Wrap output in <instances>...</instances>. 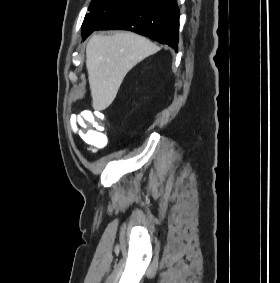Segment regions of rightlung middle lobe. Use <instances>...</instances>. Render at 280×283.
Wrapping results in <instances>:
<instances>
[{
    "instance_id": "1",
    "label": "right lung middle lobe",
    "mask_w": 280,
    "mask_h": 283,
    "mask_svg": "<svg viewBox=\"0 0 280 283\" xmlns=\"http://www.w3.org/2000/svg\"><path fill=\"white\" fill-rule=\"evenodd\" d=\"M137 0H92L82 25V38L90 35L103 21Z\"/></svg>"
}]
</instances>
